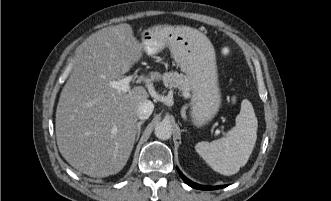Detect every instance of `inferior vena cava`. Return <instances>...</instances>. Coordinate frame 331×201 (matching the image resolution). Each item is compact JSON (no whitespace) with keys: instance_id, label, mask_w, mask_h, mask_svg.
Here are the masks:
<instances>
[{"instance_id":"1","label":"inferior vena cava","mask_w":331,"mask_h":201,"mask_svg":"<svg viewBox=\"0 0 331 201\" xmlns=\"http://www.w3.org/2000/svg\"><path fill=\"white\" fill-rule=\"evenodd\" d=\"M154 109V104L150 100L143 101L137 109V117L141 120L150 117Z\"/></svg>"}]
</instances>
